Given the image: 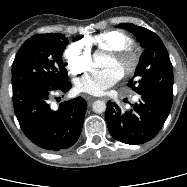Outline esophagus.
Wrapping results in <instances>:
<instances>
[{
    "instance_id": "1",
    "label": "esophagus",
    "mask_w": 187,
    "mask_h": 187,
    "mask_svg": "<svg viewBox=\"0 0 187 187\" xmlns=\"http://www.w3.org/2000/svg\"><path fill=\"white\" fill-rule=\"evenodd\" d=\"M84 98H85V100L87 101L88 104H91L95 100L94 97L88 96V95L84 96Z\"/></svg>"
}]
</instances>
